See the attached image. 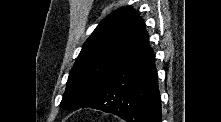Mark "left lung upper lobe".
<instances>
[{"mask_svg":"<svg viewBox=\"0 0 221 122\" xmlns=\"http://www.w3.org/2000/svg\"><path fill=\"white\" fill-rule=\"evenodd\" d=\"M138 19L132 8H120L105 17L86 40L70 71L60 106L86 104L120 59Z\"/></svg>","mask_w":221,"mask_h":122,"instance_id":"5c2ea615","label":"left lung upper lobe"}]
</instances>
